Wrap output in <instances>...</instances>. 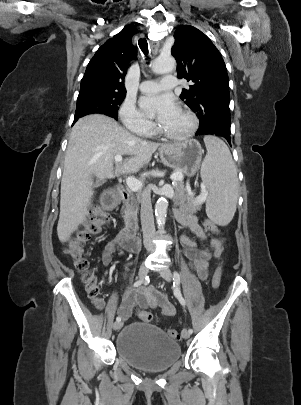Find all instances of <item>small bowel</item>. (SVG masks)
Wrapping results in <instances>:
<instances>
[{"mask_svg":"<svg viewBox=\"0 0 301 405\" xmlns=\"http://www.w3.org/2000/svg\"><path fill=\"white\" fill-rule=\"evenodd\" d=\"M175 217L197 239L201 241L208 240L205 230L198 224L197 217L193 212L187 210L184 206H179L175 209ZM121 237V232H119L105 244L101 253V262L104 266H108L116 255H121L126 250L122 245ZM180 240L184 246V256L188 261L190 269L200 279H207L211 260L218 258L223 252V240L217 237L212 238L209 240V246L206 248H199L197 242L186 235H182ZM98 305L101 307L102 302H99ZM136 307L157 308L165 316H172L175 313L174 306L170 303L166 294L154 287L126 290L122 296L118 314L124 320H127L132 317Z\"/></svg>","mask_w":301,"mask_h":405,"instance_id":"1","label":"small bowel"}]
</instances>
